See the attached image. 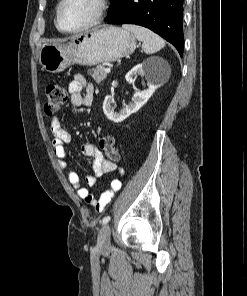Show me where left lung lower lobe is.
Segmentation results:
<instances>
[{"instance_id": "1", "label": "left lung lower lobe", "mask_w": 247, "mask_h": 296, "mask_svg": "<svg viewBox=\"0 0 247 296\" xmlns=\"http://www.w3.org/2000/svg\"><path fill=\"white\" fill-rule=\"evenodd\" d=\"M184 0H111L105 21L136 24L151 29L173 44L183 56L182 30Z\"/></svg>"}]
</instances>
